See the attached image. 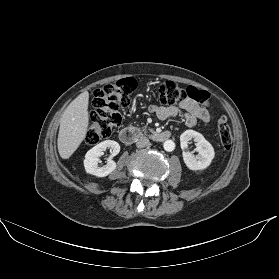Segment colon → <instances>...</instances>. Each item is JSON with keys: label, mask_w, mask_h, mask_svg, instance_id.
I'll return each mask as SVG.
<instances>
[{"label": "colon", "mask_w": 279, "mask_h": 279, "mask_svg": "<svg viewBox=\"0 0 279 279\" xmlns=\"http://www.w3.org/2000/svg\"><path fill=\"white\" fill-rule=\"evenodd\" d=\"M136 86L134 79L124 78L95 90L94 109L85 137L86 144L95 145L114 133L122 122L120 110L129 105L130 95ZM186 98L206 104L209 95L206 91L195 87L182 88L172 81L164 82L159 87L158 101L163 106H173ZM216 124L221 145L227 150L230 149L233 135L226 117L218 116Z\"/></svg>", "instance_id": "5ec220e1"}]
</instances>
